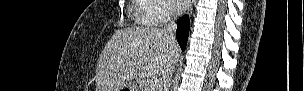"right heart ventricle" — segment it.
<instances>
[{
	"instance_id": "obj_1",
	"label": "right heart ventricle",
	"mask_w": 304,
	"mask_h": 91,
	"mask_svg": "<svg viewBox=\"0 0 304 91\" xmlns=\"http://www.w3.org/2000/svg\"><path fill=\"white\" fill-rule=\"evenodd\" d=\"M150 10H151V6L148 5L145 1L143 0L134 1L132 12L140 24L147 26H149V24H152L148 21V14Z\"/></svg>"
}]
</instances>
